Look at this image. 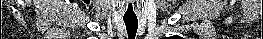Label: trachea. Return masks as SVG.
Instances as JSON below:
<instances>
[{"instance_id":"trachea-1","label":"trachea","mask_w":263,"mask_h":39,"mask_svg":"<svg viewBox=\"0 0 263 39\" xmlns=\"http://www.w3.org/2000/svg\"><path fill=\"white\" fill-rule=\"evenodd\" d=\"M129 39H134L138 29L137 18H123Z\"/></svg>"}]
</instances>
